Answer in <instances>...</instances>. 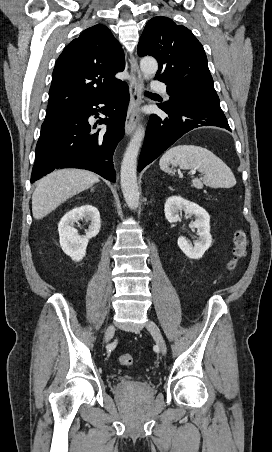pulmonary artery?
Wrapping results in <instances>:
<instances>
[{"label": "pulmonary artery", "mask_w": 272, "mask_h": 452, "mask_svg": "<svg viewBox=\"0 0 272 452\" xmlns=\"http://www.w3.org/2000/svg\"><path fill=\"white\" fill-rule=\"evenodd\" d=\"M151 89L158 92H166V84L162 81H153Z\"/></svg>", "instance_id": "pulmonary-artery-1"}]
</instances>
